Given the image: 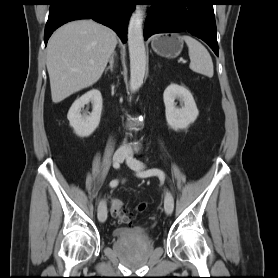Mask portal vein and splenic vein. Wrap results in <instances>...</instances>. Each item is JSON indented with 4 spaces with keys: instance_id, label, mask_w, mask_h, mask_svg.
<instances>
[{
    "instance_id": "18ae733b",
    "label": "portal vein and splenic vein",
    "mask_w": 278,
    "mask_h": 278,
    "mask_svg": "<svg viewBox=\"0 0 278 278\" xmlns=\"http://www.w3.org/2000/svg\"><path fill=\"white\" fill-rule=\"evenodd\" d=\"M181 61H182V63H186V60H184V59H180Z\"/></svg>"
}]
</instances>
